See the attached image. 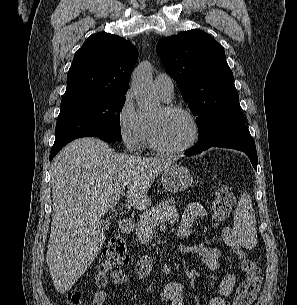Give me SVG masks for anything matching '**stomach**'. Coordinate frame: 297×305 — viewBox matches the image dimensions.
I'll return each instance as SVG.
<instances>
[{
	"label": "stomach",
	"mask_w": 297,
	"mask_h": 305,
	"mask_svg": "<svg viewBox=\"0 0 297 305\" xmlns=\"http://www.w3.org/2000/svg\"><path fill=\"white\" fill-rule=\"evenodd\" d=\"M161 181L166 191L177 193L191 187L193 177L186 167L175 164L164 170Z\"/></svg>",
	"instance_id": "obj_1"
}]
</instances>
